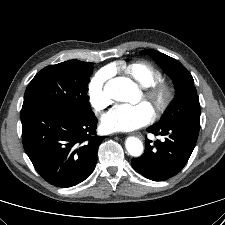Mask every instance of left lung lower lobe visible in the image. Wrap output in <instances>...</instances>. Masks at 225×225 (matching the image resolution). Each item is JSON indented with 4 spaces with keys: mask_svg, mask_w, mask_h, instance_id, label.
Listing matches in <instances>:
<instances>
[{
    "mask_svg": "<svg viewBox=\"0 0 225 225\" xmlns=\"http://www.w3.org/2000/svg\"><path fill=\"white\" fill-rule=\"evenodd\" d=\"M200 125L176 123L151 126L147 131L165 136L154 145L146 139L144 154L132 159L133 169L154 181H163L179 173L187 163L197 141Z\"/></svg>",
    "mask_w": 225,
    "mask_h": 225,
    "instance_id": "1",
    "label": "left lung lower lobe"
}]
</instances>
